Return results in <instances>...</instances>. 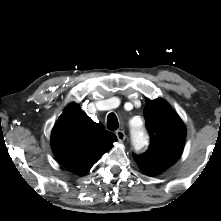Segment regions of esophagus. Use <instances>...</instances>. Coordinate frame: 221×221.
Masks as SVG:
<instances>
[{"label": "esophagus", "instance_id": "esophagus-1", "mask_svg": "<svg viewBox=\"0 0 221 221\" xmlns=\"http://www.w3.org/2000/svg\"><path fill=\"white\" fill-rule=\"evenodd\" d=\"M116 136L119 141H124L126 138V135H125L124 131H122V130H117Z\"/></svg>", "mask_w": 221, "mask_h": 221}]
</instances>
